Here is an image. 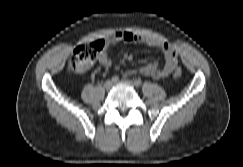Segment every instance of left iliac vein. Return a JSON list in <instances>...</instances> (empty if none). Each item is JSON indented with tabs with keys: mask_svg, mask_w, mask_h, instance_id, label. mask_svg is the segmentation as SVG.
Returning a JSON list of instances; mask_svg holds the SVG:
<instances>
[{
	"mask_svg": "<svg viewBox=\"0 0 243 167\" xmlns=\"http://www.w3.org/2000/svg\"><path fill=\"white\" fill-rule=\"evenodd\" d=\"M119 83L129 85V86H132V87L134 86V83L131 80L123 79V80L119 81Z\"/></svg>",
	"mask_w": 243,
	"mask_h": 167,
	"instance_id": "left-iliac-vein-1",
	"label": "left iliac vein"
}]
</instances>
